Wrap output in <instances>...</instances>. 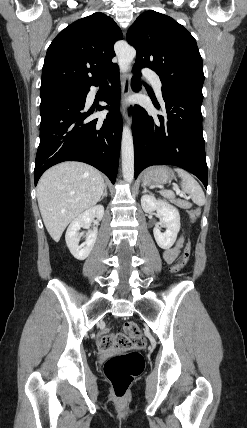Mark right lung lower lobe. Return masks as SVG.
I'll return each mask as SVG.
<instances>
[{
  "label": "right lung lower lobe",
  "instance_id": "obj_1",
  "mask_svg": "<svg viewBox=\"0 0 247 428\" xmlns=\"http://www.w3.org/2000/svg\"><path fill=\"white\" fill-rule=\"evenodd\" d=\"M106 76L111 79L112 86L107 88L101 101L110 106L98 105L96 110L95 107L87 110L85 101L90 87L82 96L41 101L40 144L34 169L35 185L45 170L63 161L88 163L115 183L122 132L120 90L117 87L118 66ZM104 79L105 77L93 85H100ZM103 109L110 110L104 120L88 119L94 111Z\"/></svg>",
  "mask_w": 247,
  "mask_h": 428
}]
</instances>
